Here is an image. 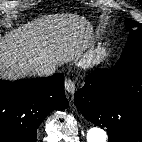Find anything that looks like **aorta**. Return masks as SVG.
Wrapping results in <instances>:
<instances>
[{
    "label": "aorta",
    "mask_w": 142,
    "mask_h": 142,
    "mask_svg": "<svg viewBox=\"0 0 142 142\" xmlns=\"http://www.w3.org/2000/svg\"><path fill=\"white\" fill-rule=\"evenodd\" d=\"M86 139L87 142H106L107 134L103 129L99 127H91L87 131Z\"/></svg>",
    "instance_id": "obj_1"
}]
</instances>
